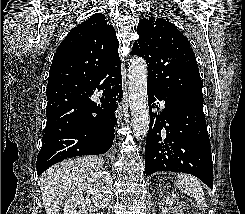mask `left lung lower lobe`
<instances>
[{
	"label": "left lung lower lobe",
	"mask_w": 245,
	"mask_h": 214,
	"mask_svg": "<svg viewBox=\"0 0 245 214\" xmlns=\"http://www.w3.org/2000/svg\"><path fill=\"white\" fill-rule=\"evenodd\" d=\"M150 127L145 147L146 175L158 171L192 174L213 187L211 145L203 98L170 96L147 86ZM164 100L160 112L158 101Z\"/></svg>",
	"instance_id": "0a47b994"
}]
</instances>
